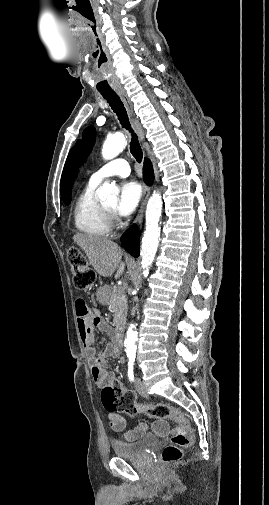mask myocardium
I'll return each instance as SVG.
<instances>
[{
    "label": "myocardium",
    "mask_w": 269,
    "mask_h": 505,
    "mask_svg": "<svg viewBox=\"0 0 269 505\" xmlns=\"http://www.w3.org/2000/svg\"><path fill=\"white\" fill-rule=\"evenodd\" d=\"M108 216H109V219L111 220L112 219V216H113V211L111 209H108L107 207H104Z\"/></svg>",
    "instance_id": "1"
}]
</instances>
